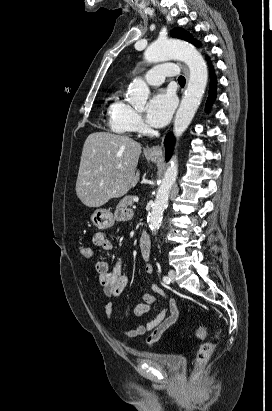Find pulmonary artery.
<instances>
[{
    "label": "pulmonary artery",
    "mask_w": 272,
    "mask_h": 411,
    "mask_svg": "<svg viewBox=\"0 0 272 411\" xmlns=\"http://www.w3.org/2000/svg\"><path fill=\"white\" fill-rule=\"evenodd\" d=\"M177 74V68L173 64L162 63L154 66L145 74L147 83L151 86L161 85L165 78L172 77Z\"/></svg>",
    "instance_id": "1"
}]
</instances>
